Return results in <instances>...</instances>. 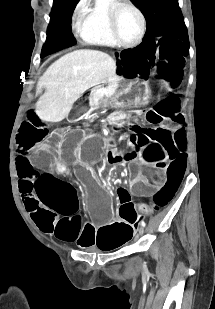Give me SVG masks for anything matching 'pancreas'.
I'll return each instance as SVG.
<instances>
[{
    "label": "pancreas",
    "instance_id": "cf45deb5",
    "mask_svg": "<svg viewBox=\"0 0 215 309\" xmlns=\"http://www.w3.org/2000/svg\"><path fill=\"white\" fill-rule=\"evenodd\" d=\"M103 84H105V86H94V88H92L89 94L90 106H98L102 98H109L112 106H115L117 96H114V94L117 88L121 86V84H119V80H105ZM103 88H113V92H104Z\"/></svg>",
    "mask_w": 215,
    "mask_h": 309
}]
</instances>
